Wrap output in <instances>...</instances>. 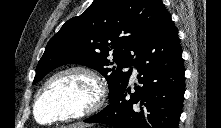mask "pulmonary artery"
<instances>
[{
	"instance_id": "obj_1",
	"label": "pulmonary artery",
	"mask_w": 221,
	"mask_h": 128,
	"mask_svg": "<svg viewBox=\"0 0 221 128\" xmlns=\"http://www.w3.org/2000/svg\"><path fill=\"white\" fill-rule=\"evenodd\" d=\"M132 69H133V78H136V76H137L136 66L132 65Z\"/></svg>"
}]
</instances>
